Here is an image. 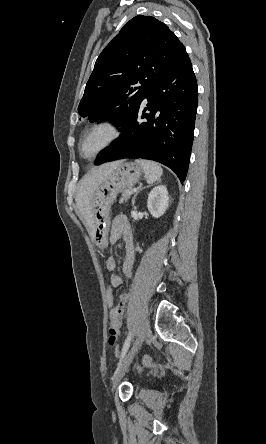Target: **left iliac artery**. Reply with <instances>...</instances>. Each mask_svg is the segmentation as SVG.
I'll return each mask as SVG.
<instances>
[{
	"label": "left iliac artery",
	"mask_w": 266,
	"mask_h": 444,
	"mask_svg": "<svg viewBox=\"0 0 266 444\" xmlns=\"http://www.w3.org/2000/svg\"><path fill=\"white\" fill-rule=\"evenodd\" d=\"M131 338H132V333L130 332L129 335L127 336L126 340H125L124 345H123L120 361L124 358V356L126 355L128 349H129Z\"/></svg>",
	"instance_id": "obj_1"
}]
</instances>
